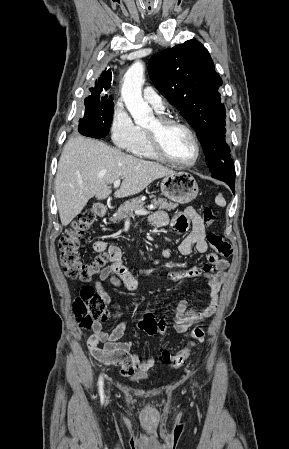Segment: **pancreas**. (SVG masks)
Wrapping results in <instances>:
<instances>
[{
	"instance_id": "1",
	"label": "pancreas",
	"mask_w": 289,
	"mask_h": 449,
	"mask_svg": "<svg viewBox=\"0 0 289 449\" xmlns=\"http://www.w3.org/2000/svg\"><path fill=\"white\" fill-rule=\"evenodd\" d=\"M152 199V204L154 208L159 207L160 209L164 210H173L177 208V204H173L171 202H168L165 199L162 198H156L155 196H150ZM144 201L142 197L134 198L132 200L127 201L123 205L120 206V208L117 210V212L109 219L113 223L120 222L127 218L130 215H133L136 210L138 209H144Z\"/></svg>"
}]
</instances>
